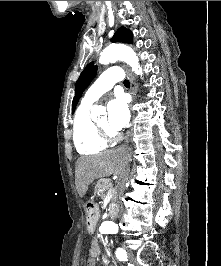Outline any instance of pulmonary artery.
<instances>
[{"mask_svg": "<svg viewBox=\"0 0 221 266\" xmlns=\"http://www.w3.org/2000/svg\"><path fill=\"white\" fill-rule=\"evenodd\" d=\"M122 79L123 73L118 66L109 67L87 90L82 99V104L85 106H91L105 92L109 91L115 83L120 82Z\"/></svg>", "mask_w": 221, "mask_h": 266, "instance_id": "obj_1", "label": "pulmonary artery"}]
</instances>
